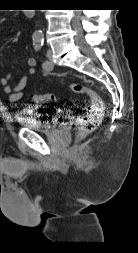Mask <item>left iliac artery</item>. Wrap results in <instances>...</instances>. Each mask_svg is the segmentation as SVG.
I'll list each match as a JSON object with an SVG mask.
<instances>
[{
  "mask_svg": "<svg viewBox=\"0 0 138 253\" xmlns=\"http://www.w3.org/2000/svg\"><path fill=\"white\" fill-rule=\"evenodd\" d=\"M43 43H44V41L42 39L35 40L34 41V48H35V50L36 51L41 50V48L43 46ZM42 67H43V69L48 70L49 67H50L49 62L47 60L43 61Z\"/></svg>",
  "mask_w": 138,
  "mask_h": 253,
  "instance_id": "44dca946",
  "label": "left iliac artery"
}]
</instances>
